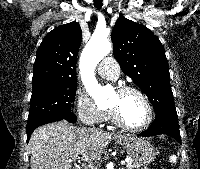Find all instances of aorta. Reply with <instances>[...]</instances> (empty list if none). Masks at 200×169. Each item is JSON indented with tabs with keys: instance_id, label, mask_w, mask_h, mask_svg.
Instances as JSON below:
<instances>
[{
	"instance_id": "762f6f07",
	"label": "aorta",
	"mask_w": 200,
	"mask_h": 169,
	"mask_svg": "<svg viewBox=\"0 0 200 169\" xmlns=\"http://www.w3.org/2000/svg\"><path fill=\"white\" fill-rule=\"evenodd\" d=\"M111 51V43L107 37L93 35L83 49L80 57V70L87 92L96 101L102 100L107 89L98 84L94 71L98 63Z\"/></svg>"
}]
</instances>
